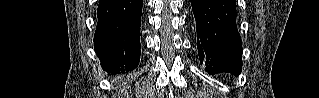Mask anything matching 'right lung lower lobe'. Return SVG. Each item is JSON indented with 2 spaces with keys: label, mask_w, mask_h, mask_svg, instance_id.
<instances>
[{
  "label": "right lung lower lobe",
  "mask_w": 319,
  "mask_h": 98,
  "mask_svg": "<svg viewBox=\"0 0 319 98\" xmlns=\"http://www.w3.org/2000/svg\"><path fill=\"white\" fill-rule=\"evenodd\" d=\"M143 0H100L94 36L95 52L106 72L116 74L137 67Z\"/></svg>",
  "instance_id": "98d812e1"
}]
</instances>
